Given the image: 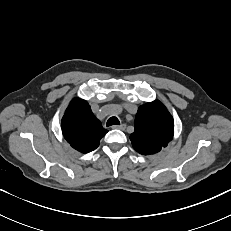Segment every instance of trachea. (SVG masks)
<instances>
[{
    "label": "trachea",
    "instance_id": "trachea-1",
    "mask_svg": "<svg viewBox=\"0 0 231 231\" xmlns=\"http://www.w3.org/2000/svg\"><path fill=\"white\" fill-rule=\"evenodd\" d=\"M107 126H112V125H120V122L117 117L113 116L110 117L107 121Z\"/></svg>",
    "mask_w": 231,
    "mask_h": 231
}]
</instances>
